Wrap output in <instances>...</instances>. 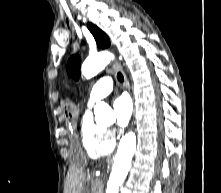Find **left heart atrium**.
I'll return each mask as SVG.
<instances>
[{"mask_svg": "<svg viewBox=\"0 0 221 193\" xmlns=\"http://www.w3.org/2000/svg\"><path fill=\"white\" fill-rule=\"evenodd\" d=\"M113 110L116 116V123L121 127L126 126L133 112L130 98L126 94L116 97L113 101Z\"/></svg>", "mask_w": 221, "mask_h": 193, "instance_id": "1", "label": "left heart atrium"}]
</instances>
